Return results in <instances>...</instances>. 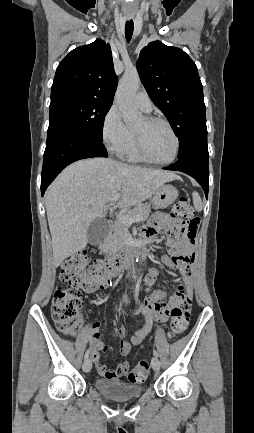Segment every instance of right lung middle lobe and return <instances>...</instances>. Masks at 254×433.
I'll return each instance as SVG.
<instances>
[{"label":"right lung middle lobe","instance_id":"right-lung-middle-lobe-1","mask_svg":"<svg viewBox=\"0 0 254 433\" xmlns=\"http://www.w3.org/2000/svg\"><path fill=\"white\" fill-rule=\"evenodd\" d=\"M111 105L95 100H64L50 105L49 120L70 124L102 141L104 119Z\"/></svg>","mask_w":254,"mask_h":433}]
</instances>
